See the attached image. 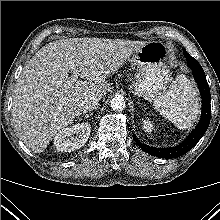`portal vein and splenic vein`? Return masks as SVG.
Here are the masks:
<instances>
[{
	"label": "portal vein and splenic vein",
	"mask_w": 220,
	"mask_h": 220,
	"mask_svg": "<svg viewBox=\"0 0 220 220\" xmlns=\"http://www.w3.org/2000/svg\"><path fill=\"white\" fill-rule=\"evenodd\" d=\"M70 68H71V70L73 71V73H72V76H71V78H70V80H69V84H72V83H74V82L77 81L78 75H77V72H76V69H75V65H74V64H71V65H70Z\"/></svg>",
	"instance_id": "portal-vein-and-splenic-vein-1"
}]
</instances>
